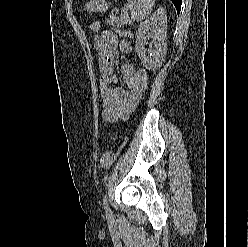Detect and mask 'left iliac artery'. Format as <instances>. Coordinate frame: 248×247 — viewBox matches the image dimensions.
<instances>
[{"label": "left iliac artery", "instance_id": "44dca946", "mask_svg": "<svg viewBox=\"0 0 248 247\" xmlns=\"http://www.w3.org/2000/svg\"><path fill=\"white\" fill-rule=\"evenodd\" d=\"M103 205H104L106 213L110 214L111 210H110V208L108 206L107 195H105L104 198H103Z\"/></svg>", "mask_w": 248, "mask_h": 247}]
</instances>
